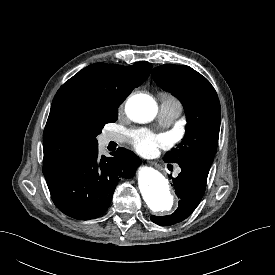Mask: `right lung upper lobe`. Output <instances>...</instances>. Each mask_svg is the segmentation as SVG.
I'll list each match as a JSON object with an SVG mask.
<instances>
[{
    "mask_svg": "<svg viewBox=\"0 0 275 275\" xmlns=\"http://www.w3.org/2000/svg\"><path fill=\"white\" fill-rule=\"evenodd\" d=\"M151 69L148 62L131 66L95 63L60 87L43 134L46 179L79 154L93 148L89 123L101 114L118 111L131 91L148 78ZM76 123L80 126L76 127Z\"/></svg>",
    "mask_w": 275,
    "mask_h": 275,
    "instance_id": "1",
    "label": "right lung upper lobe"
}]
</instances>
